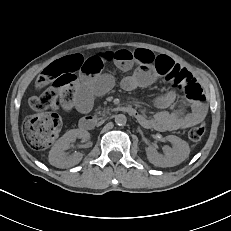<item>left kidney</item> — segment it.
<instances>
[{
	"instance_id": "left-kidney-1",
	"label": "left kidney",
	"mask_w": 231,
	"mask_h": 231,
	"mask_svg": "<svg viewBox=\"0 0 231 231\" xmlns=\"http://www.w3.org/2000/svg\"><path fill=\"white\" fill-rule=\"evenodd\" d=\"M167 140L173 144V147L165 146L164 155L159 154L152 146L146 148L147 158L153 165L173 167L183 162L189 156L190 148L186 141L175 135L167 136Z\"/></svg>"
}]
</instances>
